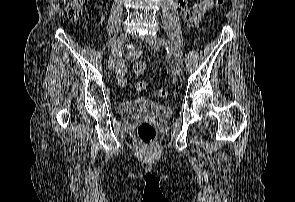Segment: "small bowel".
Wrapping results in <instances>:
<instances>
[{"instance_id":"1","label":"small bowel","mask_w":295,"mask_h":202,"mask_svg":"<svg viewBox=\"0 0 295 202\" xmlns=\"http://www.w3.org/2000/svg\"><path fill=\"white\" fill-rule=\"evenodd\" d=\"M183 19L190 25H197L201 17L213 6V0H200L195 3L192 9L188 6V0H176ZM135 54H130L133 58ZM127 65L124 61L118 63L117 80L121 86L126 83Z\"/></svg>"}]
</instances>
